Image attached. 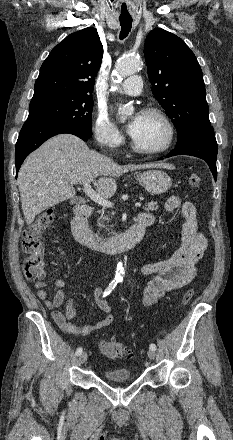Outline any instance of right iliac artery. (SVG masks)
I'll return each instance as SVG.
<instances>
[{"instance_id": "obj_1", "label": "right iliac artery", "mask_w": 233, "mask_h": 440, "mask_svg": "<svg viewBox=\"0 0 233 440\" xmlns=\"http://www.w3.org/2000/svg\"><path fill=\"white\" fill-rule=\"evenodd\" d=\"M118 282H119L118 280H113L103 292V297L109 295L114 290ZM81 353H82V348L80 347L76 350V355L79 356Z\"/></svg>"}]
</instances>
